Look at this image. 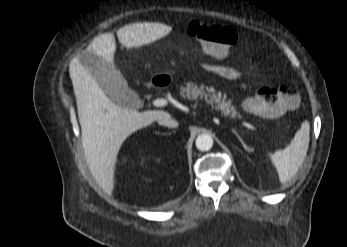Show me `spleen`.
<instances>
[{"instance_id": "obj_1", "label": "spleen", "mask_w": 347, "mask_h": 247, "mask_svg": "<svg viewBox=\"0 0 347 247\" xmlns=\"http://www.w3.org/2000/svg\"><path fill=\"white\" fill-rule=\"evenodd\" d=\"M309 133V123L304 121L290 145L270 155V159L278 171L282 184L289 182L302 166L309 146Z\"/></svg>"}]
</instances>
